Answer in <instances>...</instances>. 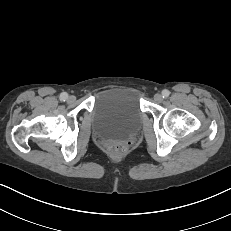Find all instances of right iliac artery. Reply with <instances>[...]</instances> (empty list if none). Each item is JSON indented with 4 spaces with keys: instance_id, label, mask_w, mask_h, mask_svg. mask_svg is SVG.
<instances>
[{
    "instance_id": "82829eb1",
    "label": "right iliac artery",
    "mask_w": 231,
    "mask_h": 231,
    "mask_svg": "<svg viewBox=\"0 0 231 231\" xmlns=\"http://www.w3.org/2000/svg\"><path fill=\"white\" fill-rule=\"evenodd\" d=\"M67 99H68V94L66 92L60 94L61 101H66Z\"/></svg>"
}]
</instances>
